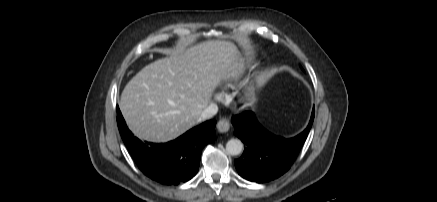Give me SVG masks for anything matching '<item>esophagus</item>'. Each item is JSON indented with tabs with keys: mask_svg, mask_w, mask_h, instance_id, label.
I'll return each instance as SVG.
<instances>
[{
	"mask_svg": "<svg viewBox=\"0 0 437 202\" xmlns=\"http://www.w3.org/2000/svg\"><path fill=\"white\" fill-rule=\"evenodd\" d=\"M230 128V122L226 118H222L217 123V129L221 133H226Z\"/></svg>",
	"mask_w": 437,
	"mask_h": 202,
	"instance_id": "34e87169",
	"label": "esophagus"
}]
</instances>
